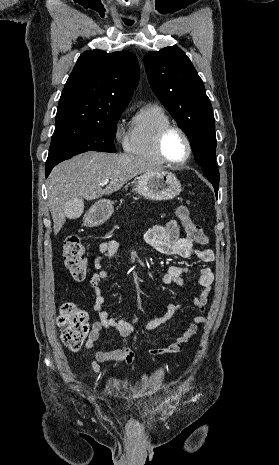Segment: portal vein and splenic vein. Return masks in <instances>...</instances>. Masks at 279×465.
I'll use <instances>...</instances> for the list:
<instances>
[{"label":"portal vein and splenic vein","instance_id":"portal-vein-and-splenic-vein-1","mask_svg":"<svg viewBox=\"0 0 279 465\" xmlns=\"http://www.w3.org/2000/svg\"><path fill=\"white\" fill-rule=\"evenodd\" d=\"M108 182H109V179H106V180L103 181V183H102L101 185H102V186H103V185H106Z\"/></svg>","mask_w":279,"mask_h":465}]
</instances>
